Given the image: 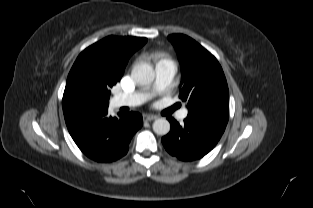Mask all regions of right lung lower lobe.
Masks as SVG:
<instances>
[{"label": "right lung lower lobe", "mask_w": 313, "mask_h": 208, "mask_svg": "<svg viewBox=\"0 0 313 208\" xmlns=\"http://www.w3.org/2000/svg\"><path fill=\"white\" fill-rule=\"evenodd\" d=\"M68 131L79 149L97 162H112L128 151L132 136L142 126L139 113L109 117L108 106L63 107Z\"/></svg>", "instance_id": "obj_1"}]
</instances>
